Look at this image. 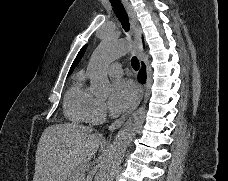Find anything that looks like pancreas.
Segmentation results:
<instances>
[{
  "mask_svg": "<svg viewBox=\"0 0 228 181\" xmlns=\"http://www.w3.org/2000/svg\"><path fill=\"white\" fill-rule=\"evenodd\" d=\"M85 173L86 169H82V167H76L73 173H71L69 181H85ZM81 175H84V177H81Z\"/></svg>",
  "mask_w": 228,
  "mask_h": 181,
  "instance_id": "pancreas-1",
  "label": "pancreas"
}]
</instances>
